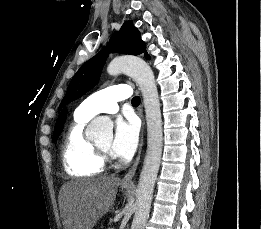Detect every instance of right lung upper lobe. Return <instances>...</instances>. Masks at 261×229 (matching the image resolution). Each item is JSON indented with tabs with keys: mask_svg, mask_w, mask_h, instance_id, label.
Wrapping results in <instances>:
<instances>
[{
	"mask_svg": "<svg viewBox=\"0 0 261 229\" xmlns=\"http://www.w3.org/2000/svg\"><path fill=\"white\" fill-rule=\"evenodd\" d=\"M66 108L61 112V114L59 115L56 125H64L65 119H66ZM55 125V126H56Z\"/></svg>",
	"mask_w": 261,
	"mask_h": 229,
	"instance_id": "right-lung-upper-lobe-1",
	"label": "right lung upper lobe"
}]
</instances>
